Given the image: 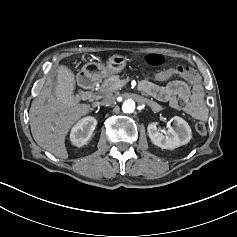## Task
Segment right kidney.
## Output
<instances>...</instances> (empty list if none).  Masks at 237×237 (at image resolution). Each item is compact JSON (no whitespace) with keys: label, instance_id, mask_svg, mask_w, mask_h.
<instances>
[{"label":"right kidney","instance_id":"1","mask_svg":"<svg viewBox=\"0 0 237 237\" xmlns=\"http://www.w3.org/2000/svg\"><path fill=\"white\" fill-rule=\"evenodd\" d=\"M97 122L93 117H87L76 124L71 132V140L77 146H83L92 136Z\"/></svg>","mask_w":237,"mask_h":237}]
</instances>
